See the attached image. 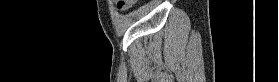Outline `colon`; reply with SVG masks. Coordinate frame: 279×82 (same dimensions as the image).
Listing matches in <instances>:
<instances>
[{"label":"colon","instance_id":"colon-1","mask_svg":"<svg viewBox=\"0 0 279 82\" xmlns=\"http://www.w3.org/2000/svg\"><path fill=\"white\" fill-rule=\"evenodd\" d=\"M112 2L124 4V5H126L128 8H130V7H132V6L137 2V0H124V1L112 0Z\"/></svg>","mask_w":279,"mask_h":82}]
</instances>
